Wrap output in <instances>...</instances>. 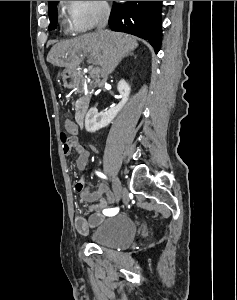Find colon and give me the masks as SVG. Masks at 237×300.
I'll use <instances>...</instances> for the list:
<instances>
[{"mask_svg": "<svg viewBox=\"0 0 237 300\" xmlns=\"http://www.w3.org/2000/svg\"><path fill=\"white\" fill-rule=\"evenodd\" d=\"M62 143L64 150L73 151L77 148L78 143L74 138H71L65 134H62Z\"/></svg>", "mask_w": 237, "mask_h": 300, "instance_id": "5ec220e1", "label": "colon"}]
</instances>
